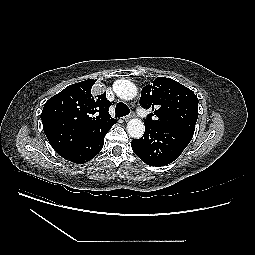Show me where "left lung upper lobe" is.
<instances>
[{"mask_svg": "<svg viewBox=\"0 0 255 255\" xmlns=\"http://www.w3.org/2000/svg\"><path fill=\"white\" fill-rule=\"evenodd\" d=\"M198 102L192 90L171 78L158 77L142 89L140 105L153 110L144 124L194 133Z\"/></svg>", "mask_w": 255, "mask_h": 255, "instance_id": "obj_1", "label": "left lung upper lobe"}]
</instances>
